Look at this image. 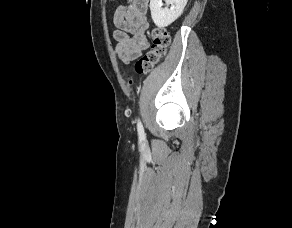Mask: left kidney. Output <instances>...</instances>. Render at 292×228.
I'll list each match as a JSON object with an SVG mask.
<instances>
[{
	"label": "left kidney",
	"instance_id": "5707ae66",
	"mask_svg": "<svg viewBox=\"0 0 292 228\" xmlns=\"http://www.w3.org/2000/svg\"><path fill=\"white\" fill-rule=\"evenodd\" d=\"M188 0H165L170 8H162V0H150L151 17L155 25L164 28L173 23L183 12Z\"/></svg>",
	"mask_w": 292,
	"mask_h": 228
}]
</instances>
